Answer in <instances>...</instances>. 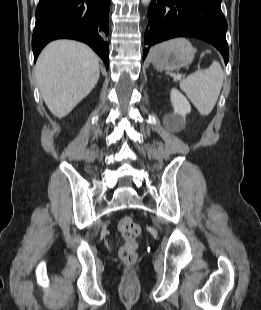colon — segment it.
Segmentation results:
<instances>
[{"label":"colon","mask_w":261,"mask_h":310,"mask_svg":"<svg viewBox=\"0 0 261 310\" xmlns=\"http://www.w3.org/2000/svg\"><path fill=\"white\" fill-rule=\"evenodd\" d=\"M118 230L124 240L119 249V257L126 265H133L137 260V239L141 234V227L131 216H124L118 223Z\"/></svg>","instance_id":"colon-1"}]
</instances>
